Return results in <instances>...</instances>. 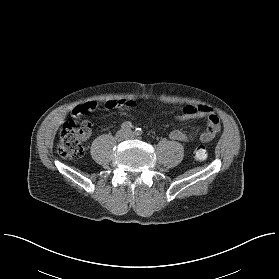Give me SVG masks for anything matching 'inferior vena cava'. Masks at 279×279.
<instances>
[{"label":"inferior vena cava","instance_id":"inferior-vena-cava-1","mask_svg":"<svg viewBox=\"0 0 279 279\" xmlns=\"http://www.w3.org/2000/svg\"><path fill=\"white\" fill-rule=\"evenodd\" d=\"M133 137V133L132 132H125V134H124V138L125 139H129V138H132Z\"/></svg>","mask_w":279,"mask_h":279}]
</instances>
